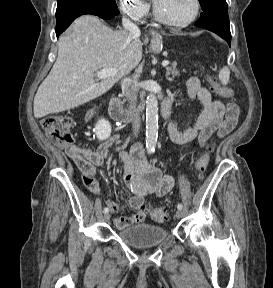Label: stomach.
Here are the masks:
<instances>
[{
  "label": "stomach",
  "instance_id": "stomach-1",
  "mask_svg": "<svg viewBox=\"0 0 273 288\" xmlns=\"http://www.w3.org/2000/svg\"><path fill=\"white\" fill-rule=\"evenodd\" d=\"M162 49V38L160 36L155 37L151 42V50L154 52H160Z\"/></svg>",
  "mask_w": 273,
  "mask_h": 288
}]
</instances>
